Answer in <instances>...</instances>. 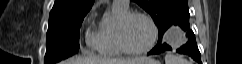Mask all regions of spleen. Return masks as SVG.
Listing matches in <instances>:
<instances>
[{"instance_id":"1","label":"spleen","mask_w":242,"mask_h":64,"mask_svg":"<svg viewBox=\"0 0 242 64\" xmlns=\"http://www.w3.org/2000/svg\"><path fill=\"white\" fill-rule=\"evenodd\" d=\"M165 64H189V62L180 56L167 54L165 56Z\"/></svg>"}]
</instances>
